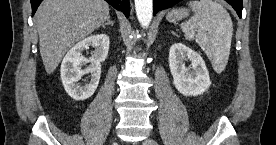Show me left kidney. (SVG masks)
I'll return each mask as SVG.
<instances>
[{
	"instance_id": "5707ae66",
	"label": "left kidney",
	"mask_w": 276,
	"mask_h": 145,
	"mask_svg": "<svg viewBox=\"0 0 276 145\" xmlns=\"http://www.w3.org/2000/svg\"><path fill=\"white\" fill-rule=\"evenodd\" d=\"M191 61V67L185 61ZM169 67L175 88L184 96L203 94L211 85L203 58L183 43H174L169 50Z\"/></svg>"
}]
</instances>
